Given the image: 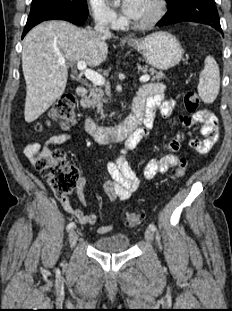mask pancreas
<instances>
[{
    "mask_svg": "<svg viewBox=\"0 0 232 311\" xmlns=\"http://www.w3.org/2000/svg\"><path fill=\"white\" fill-rule=\"evenodd\" d=\"M143 71L145 72L148 71V67L147 66L143 67ZM149 72L153 76L152 78L153 81L156 80L159 81L165 78L164 73L161 71H156L155 69L150 68ZM106 96L111 97V92L108 88L104 90L101 87L93 86L90 89V94L84 99H82L81 103L85 107H91L92 109L96 108L97 113L103 115V103L107 102L108 100Z\"/></svg>",
    "mask_w": 232,
    "mask_h": 311,
    "instance_id": "1",
    "label": "pancreas"
}]
</instances>
